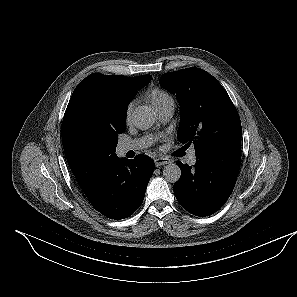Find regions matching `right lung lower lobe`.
Listing matches in <instances>:
<instances>
[{
    "mask_svg": "<svg viewBox=\"0 0 297 297\" xmlns=\"http://www.w3.org/2000/svg\"><path fill=\"white\" fill-rule=\"evenodd\" d=\"M154 161L146 155L134 159L114 157L85 193L92 206L104 216L120 220L132 215L142 204Z\"/></svg>",
    "mask_w": 297,
    "mask_h": 297,
    "instance_id": "right-lung-lower-lobe-1",
    "label": "right lung lower lobe"
}]
</instances>
